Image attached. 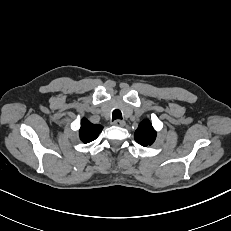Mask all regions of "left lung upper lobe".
Segmentation results:
<instances>
[{"label": "left lung upper lobe", "mask_w": 231, "mask_h": 231, "mask_svg": "<svg viewBox=\"0 0 231 231\" xmlns=\"http://www.w3.org/2000/svg\"><path fill=\"white\" fill-rule=\"evenodd\" d=\"M135 141L142 146L151 145L156 138V131L149 120H143L134 134Z\"/></svg>", "instance_id": "1"}]
</instances>
